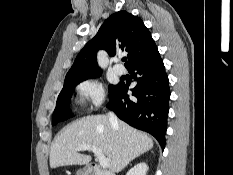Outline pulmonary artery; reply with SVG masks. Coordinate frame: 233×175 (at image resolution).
I'll return each instance as SVG.
<instances>
[{"label":"pulmonary artery","mask_w":233,"mask_h":175,"mask_svg":"<svg viewBox=\"0 0 233 175\" xmlns=\"http://www.w3.org/2000/svg\"><path fill=\"white\" fill-rule=\"evenodd\" d=\"M114 71L115 73H117L118 75H123L125 73V69L123 66L117 64L114 66Z\"/></svg>","instance_id":"pulmonary-artery-1"}]
</instances>
